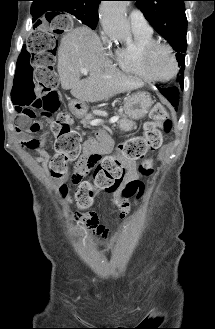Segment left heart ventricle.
Here are the masks:
<instances>
[{
	"label": "left heart ventricle",
	"mask_w": 215,
	"mask_h": 329,
	"mask_svg": "<svg viewBox=\"0 0 215 329\" xmlns=\"http://www.w3.org/2000/svg\"><path fill=\"white\" fill-rule=\"evenodd\" d=\"M150 66L153 74L159 78L169 77L174 70L173 59L165 48H158L153 53Z\"/></svg>",
	"instance_id": "b2bd125f"
}]
</instances>
